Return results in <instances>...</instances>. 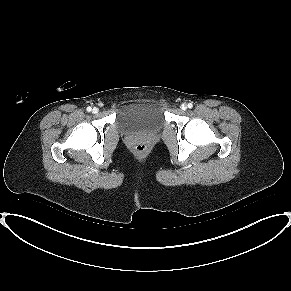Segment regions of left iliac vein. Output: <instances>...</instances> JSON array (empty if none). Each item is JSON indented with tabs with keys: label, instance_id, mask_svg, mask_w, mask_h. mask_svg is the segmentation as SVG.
I'll list each match as a JSON object with an SVG mask.
<instances>
[{
	"label": "left iliac vein",
	"instance_id": "4c4485c4",
	"mask_svg": "<svg viewBox=\"0 0 291 291\" xmlns=\"http://www.w3.org/2000/svg\"><path fill=\"white\" fill-rule=\"evenodd\" d=\"M181 109H182V110H186V109H187V105H186V104H182V105H181Z\"/></svg>",
	"mask_w": 291,
	"mask_h": 291
}]
</instances>
